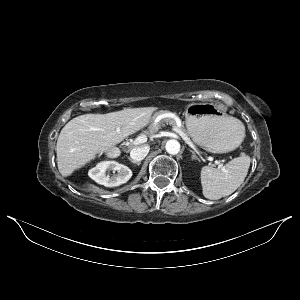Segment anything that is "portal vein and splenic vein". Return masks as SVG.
I'll use <instances>...</instances> for the list:
<instances>
[{"instance_id":"portal-vein-and-splenic-vein-1","label":"portal vein and splenic vein","mask_w":300,"mask_h":300,"mask_svg":"<svg viewBox=\"0 0 300 300\" xmlns=\"http://www.w3.org/2000/svg\"><path fill=\"white\" fill-rule=\"evenodd\" d=\"M173 130L176 132V133H178L181 137H182V139L192 148V149H196V147H195V145L193 144V142L190 140V138L183 132V131H181L179 128H177V127H174L173 128ZM147 141V136L146 135H140V136H138L135 140H134V142H133V144L134 145H140V144H143V143H145Z\"/></svg>"}]
</instances>
